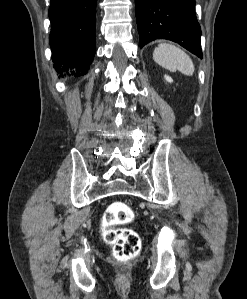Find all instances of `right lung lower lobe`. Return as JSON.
Segmentation results:
<instances>
[{
  "label": "right lung lower lobe",
  "mask_w": 247,
  "mask_h": 299,
  "mask_svg": "<svg viewBox=\"0 0 247 299\" xmlns=\"http://www.w3.org/2000/svg\"><path fill=\"white\" fill-rule=\"evenodd\" d=\"M96 4L97 0H51L49 43L58 73L73 68L87 73L96 51Z\"/></svg>",
  "instance_id": "obj_1"
}]
</instances>
